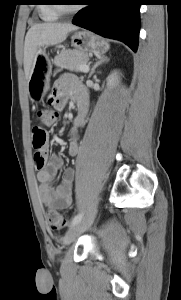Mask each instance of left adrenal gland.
I'll return each mask as SVG.
<instances>
[{"mask_svg": "<svg viewBox=\"0 0 181 300\" xmlns=\"http://www.w3.org/2000/svg\"><path fill=\"white\" fill-rule=\"evenodd\" d=\"M109 61V59L105 56L100 57L95 64L92 66L91 68V72L89 73L88 78H90L94 73H95V69L97 67H99L100 65H103L104 63H107Z\"/></svg>", "mask_w": 181, "mask_h": 300, "instance_id": "left-adrenal-gland-1", "label": "left adrenal gland"}]
</instances>
